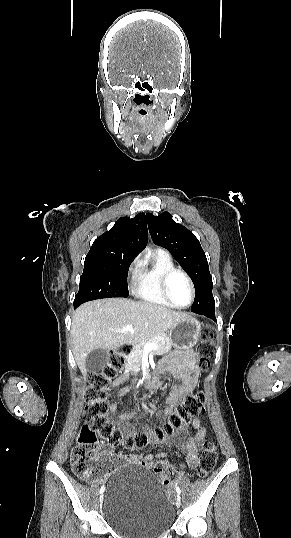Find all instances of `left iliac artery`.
Listing matches in <instances>:
<instances>
[{
  "label": "left iliac artery",
  "instance_id": "44dca946",
  "mask_svg": "<svg viewBox=\"0 0 291 538\" xmlns=\"http://www.w3.org/2000/svg\"><path fill=\"white\" fill-rule=\"evenodd\" d=\"M176 492H177L178 495H180L181 490H180L179 486H176Z\"/></svg>",
  "mask_w": 291,
  "mask_h": 538
}]
</instances>
